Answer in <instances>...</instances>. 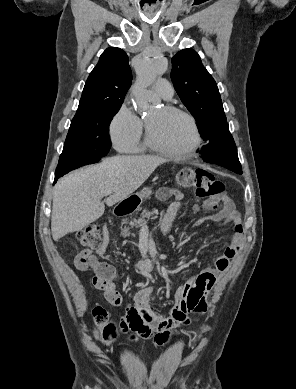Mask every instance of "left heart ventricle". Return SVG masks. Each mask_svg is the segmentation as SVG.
I'll list each match as a JSON object with an SVG mask.
<instances>
[{
	"label": "left heart ventricle",
	"mask_w": 296,
	"mask_h": 389,
	"mask_svg": "<svg viewBox=\"0 0 296 389\" xmlns=\"http://www.w3.org/2000/svg\"><path fill=\"white\" fill-rule=\"evenodd\" d=\"M153 139L159 145L172 150H183L193 140L189 121L181 115L168 113L163 108L147 117Z\"/></svg>",
	"instance_id": "left-heart-ventricle-1"
}]
</instances>
